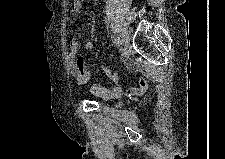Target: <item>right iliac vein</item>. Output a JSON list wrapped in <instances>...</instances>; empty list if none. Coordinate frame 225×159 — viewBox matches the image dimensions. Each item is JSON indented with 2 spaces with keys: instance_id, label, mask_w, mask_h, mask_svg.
<instances>
[{
  "instance_id": "obj_1",
  "label": "right iliac vein",
  "mask_w": 225,
  "mask_h": 159,
  "mask_svg": "<svg viewBox=\"0 0 225 159\" xmlns=\"http://www.w3.org/2000/svg\"><path fill=\"white\" fill-rule=\"evenodd\" d=\"M120 38H121V43L123 45H128V43H129V35H128V32L125 29H123L121 31Z\"/></svg>"
}]
</instances>
